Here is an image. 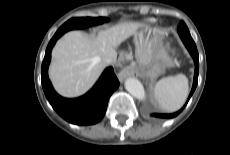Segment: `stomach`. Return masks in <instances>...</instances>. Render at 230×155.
Returning a JSON list of instances; mask_svg holds the SVG:
<instances>
[{
    "instance_id": "stomach-1",
    "label": "stomach",
    "mask_w": 230,
    "mask_h": 155,
    "mask_svg": "<svg viewBox=\"0 0 230 155\" xmlns=\"http://www.w3.org/2000/svg\"><path fill=\"white\" fill-rule=\"evenodd\" d=\"M165 30L144 25L135 35L136 56L139 61H158L161 65L173 66L177 62L163 45Z\"/></svg>"
}]
</instances>
